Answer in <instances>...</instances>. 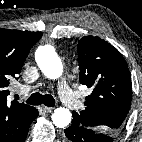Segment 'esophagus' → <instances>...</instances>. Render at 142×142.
Instances as JSON below:
<instances>
[{"label":"esophagus","mask_w":142,"mask_h":142,"mask_svg":"<svg viewBox=\"0 0 142 142\" xmlns=\"http://www.w3.org/2000/svg\"><path fill=\"white\" fill-rule=\"evenodd\" d=\"M42 109H43L44 112H46V113H50V112L53 111V107L42 106Z\"/></svg>","instance_id":"obj_1"}]
</instances>
